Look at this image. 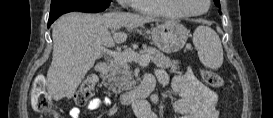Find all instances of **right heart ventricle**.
I'll return each mask as SVG.
<instances>
[{
	"label": "right heart ventricle",
	"instance_id": "e07e8e85",
	"mask_svg": "<svg viewBox=\"0 0 273 118\" xmlns=\"http://www.w3.org/2000/svg\"><path fill=\"white\" fill-rule=\"evenodd\" d=\"M135 7L145 13L181 17L182 14L174 8L171 0H144L135 2Z\"/></svg>",
	"mask_w": 273,
	"mask_h": 118
}]
</instances>
